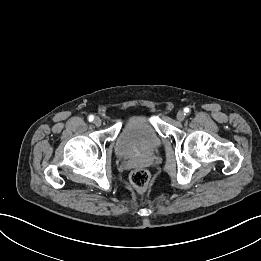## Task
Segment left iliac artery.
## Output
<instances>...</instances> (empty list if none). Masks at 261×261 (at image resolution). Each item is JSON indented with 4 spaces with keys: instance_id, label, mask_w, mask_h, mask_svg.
I'll return each mask as SVG.
<instances>
[{
    "instance_id": "obj_1",
    "label": "left iliac artery",
    "mask_w": 261,
    "mask_h": 261,
    "mask_svg": "<svg viewBox=\"0 0 261 261\" xmlns=\"http://www.w3.org/2000/svg\"><path fill=\"white\" fill-rule=\"evenodd\" d=\"M189 111H190L189 108H185V109H184V112H185V113H188Z\"/></svg>"
}]
</instances>
